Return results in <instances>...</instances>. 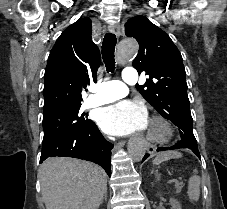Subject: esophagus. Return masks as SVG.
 Listing matches in <instances>:
<instances>
[{
    "instance_id": "esophagus-1",
    "label": "esophagus",
    "mask_w": 227,
    "mask_h": 209,
    "mask_svg": "<svg viewBox=\"0 0 227 209\" xmlns=\"http://www.w3.org/2000/svg\"><path fill=\"white\" fill-rule=\"evenodd\" d=\"M113 31H114V34L117 36V37H119V35H120V26L118 25V24H116V25H114L113 26ZM148 154H155V145L154 144H149L148 145Z\"/></svg>"
}]
</instances>
